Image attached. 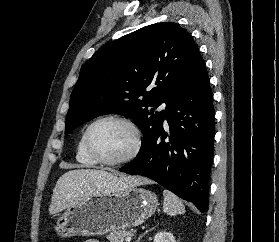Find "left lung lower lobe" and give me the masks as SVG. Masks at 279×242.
<instances>
[{"label":"left lung lower lobe","instance_id":"1","mask_svg":"<svg viewBox=\"0 0 279 242\" xmlns=\"http://www.w3.org/2000/svg\"><path fill=\"white\" fill-rule=\"evenodd\" d=\"M214 114L210 80L198 54L168 112L169 134L162 127L150 149L119 171L149 177L207 212Z\"/></svg>","mask_w":279,"mask_h":242}]
</instances>
